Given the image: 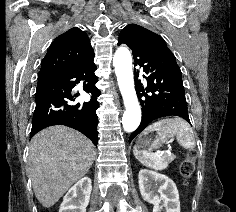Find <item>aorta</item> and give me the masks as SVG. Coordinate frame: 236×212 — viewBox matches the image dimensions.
<instances>
[{"instance_id": "762f6f07", "label": "aorta", "mask_w": 236, "mask_h": 212, "mask_svg": "<svg viewBox=\"0 0 236 212\" xmlns=\"http://www.w3.org/2000/svg\"><path fill=\"white\" fill-rule=\"evenodd\" d=\"M113 64L118 86L126 108L122 118L123 128L126 132H133L141 122V107L134 88L130 51L126 47H119L115 51Z\"/></svg>"}]
</instances>
